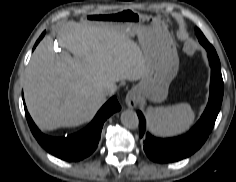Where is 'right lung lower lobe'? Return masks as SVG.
Segmentation results:
<instances>
[{
	"instance_id": "1",
	"label": "right lung lower lobe",
	"mask_w": 236,
	"mask_h": 182,
	"mask_svg": "<svg viewBox=\"0 0 236 182\" xmlns=\"http://www.w3.org/2000/svg\"><path fill=\"white\" fill-rule=\"evenodd\" d=\"M44 34L45 32L39 37L35 46L43 38ZM24 108L29 127L38 143L52 155L66 161H79L91 155L99 142L104 121L114 112L121 109L117 98L114 96L98 111L87 128L71 136L52 138L39 131L30 117L25 104Z\"/></svg>"
}]
</instances>
